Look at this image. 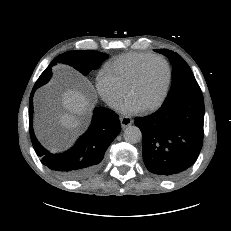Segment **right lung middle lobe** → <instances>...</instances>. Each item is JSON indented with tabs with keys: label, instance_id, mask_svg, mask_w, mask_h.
<instances>
[{
	"label": "right lung middle lobe",
	"instance_id": "right-lung-middle-lobe-1",
	"mask_svg": "<svg viewBox=\"0 0 231 231\" xmlns=\"http://www.w3.org/2000/svg\"><path fill=\"white\" fill-rule=\"evenodd\" d=\"M107 56L108 55L105 53L93 50L69 51L63 53L49 64L40 75L33 89L36 90L50 80L52 76V67L56 65L57 62L68 64L86 76L90 71L98 69Z\"/></svg>",
	"mask_w": 231,
	"mask_h": 231
}]
</instances>
